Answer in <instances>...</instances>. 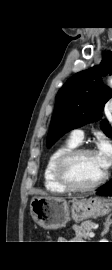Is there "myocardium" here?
I'll list each match as a JSON object with an SVG mask.
<instances>
[{
	"label": "myocardium",
	"instance_id": "myocardium-1",
	"mask_svg": "<svg viewBox=\"0 0 112 270\" xmlns=\"http://www.w3.org/2000/svg\"><path fill=\"white\" fill-rule=\"evenodd\" d=\"M96 153L95 150L89 147H76L63 153L57 160L55 165V176L58 183L71 192H88L100 187L108 178L107 171L101 176L99 180L90 185L76 184L69 173V166L76 158L85 154Z\"/></svg>",
	"mask_w": 112,
	"mask_h": 270
}]
</instances>
